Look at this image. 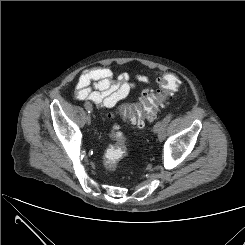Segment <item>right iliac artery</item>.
<instances>
[{
	"mask_svg": "<svg viewBox=\"0 0 245 245\" xmlns=\"http://www.w3.org/2000/svg\"><path fill=\"white\" fill-rule=\"evenodd\" d=\"M88 111V113H91L92 112V109H86Z\"/></svg>",
	"mask_w": 245,
	"mask_h": 245,
	"instance_id": "obj_1",
	"label": "right iliac artery"
}]
</instances>
